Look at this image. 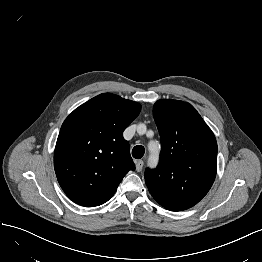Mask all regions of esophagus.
<instances>
[{"instance_id": "1", "label": "esophagus", "mask_w": 262, "mask_h": 262, "mask_svg": "<svg viewBox=\"0 0 262 262\" xmlns=\"http://www.w3.org/2000/svg\"><path fill=\"white\" fill-rule=\"evenodd\" d=\"M143 166H144L143 160H138V161L136 162V170H137L138 172L142 171Z\"/></svg>"}]
</instances>
